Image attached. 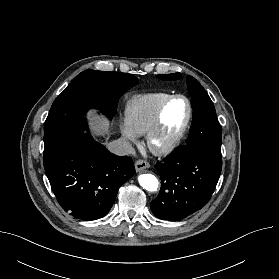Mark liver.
<instances>
[{"mask_svg":"<svg viewBox=\"0 0 279 279\" xmlns=\"http://www.w3.org/2000/svg\"><path fill=\"white\" fill-rule=\"evenodd\" d=\"M89 124L92 131L98 136H103L108 130L107 120L103 116H99L95 111H91L88 114Z\"/></svg>","mask_w":279,"mask_h":279,"instance_id":"liver-1","label":"liver"}]
</instances>
